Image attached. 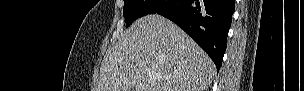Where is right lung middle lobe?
<instances>
[{
  "instance_id": "right-lung-middle-lobe-1",
  "label": "right lung middle lobe",
  "mask_w": 304,
  "mask_h": 91,
  "mask_svg": "<svg viewBox=\"0 0 304 91\" xmlns=\"http://www.w3.org/2000/svg\"><path fill=\"white\" fill-rule=\"evenodd\" d=\"M166 2L165 0H124L123 16L126 26H130L137 18L151 14L157 5H163Z\"/></svg>"
}]
</instances>
